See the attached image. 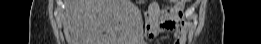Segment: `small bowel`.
Masks as SVG:
<instances>
[{
  "instance_id": "1",
  "label": "small bowel",
  "mask_w": 261,
  "mask_h": 44,
  "mask_svg": "<svg viewBox=\"0 0 261 44\" xmlns=\"http://www.w3.org/2000/svg\"><path fill=\"white\" fill-rule=\"evenodd\" d=\"M183 7L173 6L166 8L158 2H152L149 6L148 21L151 23L148 29L150 37L156 36L159 32L170 33L174 37V43L180 44L186 38L188 29L184 17ZM166 15L167 17L162 19Z\"/></svg>"
}]
</instances>
